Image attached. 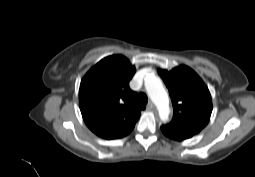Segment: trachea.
<instances>
[{
	"mask_svg": "<svg viewBox=\"0 0 255 177\" xmlns=\"http://www.w3.org/2000/svg\"><path fill=\"white\" fill-rule=\"evenodd\" d=\"M137 102L141 105H146L148 102L147 95L145 93H139L137 96Z\"/></svg>",
	"mask_w": 255,
	"mask_h": 177,
	"instance_id": "1",
	"label": "trachea"
}]
</instances>
